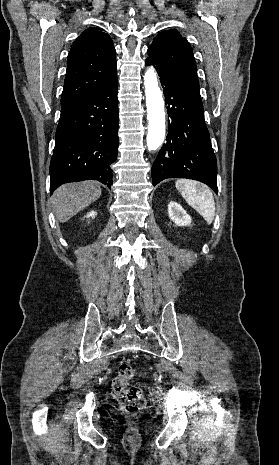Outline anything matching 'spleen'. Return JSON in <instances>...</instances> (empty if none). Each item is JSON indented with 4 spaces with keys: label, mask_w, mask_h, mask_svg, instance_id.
I'll use <instances>...</instances> for the list:
<instances>
[{
    "label": "spleen",
    "mask_w": 279,
    "mask_h": 465,
    "mask_svg": "<svg viewBox=\"0 0 279 465\" xmlns=\"http://www.w3.org/2000/svg\"><path fill=\"white\" fill-rule=\"evenodd\" d=\"M175 186L186 202L211 224L215 216V202L210 189L187 179L177 180Z\"/></svg>",
    "instance_id": "1"
}]
</instances>
